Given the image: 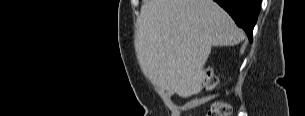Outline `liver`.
<instances>
[{"label":"liver","instance_id":"obj_1","mask_svg":"<svg viewBox=\"0 0 305 116\" xmlns=\"http://www.w3.org/2000/svg\"><path fill=\"white\" fill-rule=\"evenodd\" d=\"M135 50L142 71L180 97L202 90L212 46H234L243 32L213 0H147L137 20Z\"/></svg>","mask_w":305,"mask_h":116}]
</instances>
